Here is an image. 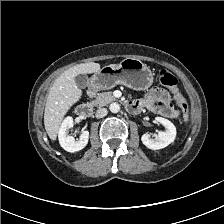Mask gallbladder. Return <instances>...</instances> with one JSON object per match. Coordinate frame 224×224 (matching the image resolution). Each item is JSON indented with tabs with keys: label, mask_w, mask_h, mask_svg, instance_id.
<instances>
[{
	"label": "gallbladder",
	"mask_w": 224,
	"mask_h": 224,
	"mask_svg": "<svg viewBox=\"0 0 224 224\" xmlns=\"http://www.w3.org/2000/svg\"><path fill=\"white\" fill-rule=\"evenodd\" d=\"M75 82L78 88L84 89L88 83V77L85 74H78L75 77Z\"/></svg>",
	"instance_id": "bac80fb5"
}]
</instances>
